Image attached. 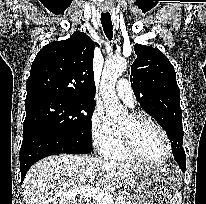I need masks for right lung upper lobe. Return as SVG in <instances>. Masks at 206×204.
I'll return each instance as SVG.
<instances>
[{
  "instance_id": "obj_1",
  "label": "right lung upper lobe",
  "mask_w": 206,
  "mask_h": 204,
  "mask_svg": "<svg viewBox=\"0 0 206 204\" xmlns=\"http://www.w3.org/2000/svg\"><path fill=\"white\" fill-rule=\"evenodd\" d=\"M93 57L94 43L80 31L47 44L32 63L26 99L59 96L95 101Z\"/></svg>"
}]
</instances>
